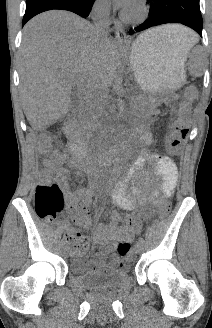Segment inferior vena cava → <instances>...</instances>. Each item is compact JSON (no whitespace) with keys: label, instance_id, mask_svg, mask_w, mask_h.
Here are the masks:
<instances>
[{"label":"inferior vena cava","instance_id":"1","mask_svg":"<svg viewBox=\"0 0 212 328\" xmlns=\"http://www.w3.org/2000/svg\"><path fill=\"white\" fill-rule=\"evenodd\" d=\"M110 14V7L108 4L99 3L97 4L92 11V20L94 22L95 28L102 35H107L108 28V18ZM103 97V89L94 83L85 94V112L87 118L91 122H95L96 118L100 113L101 103ZM95 170H98V167H95ZM91 177L96 179L98 174L96 171H92Z\"/></svg>","mask_w":212,"mask_h":328}]
</instances>
